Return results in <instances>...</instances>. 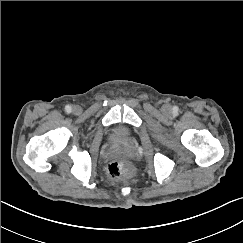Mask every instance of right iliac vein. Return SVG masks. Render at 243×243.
I'll return each instance as SVG.
<instances>
[{"instance_id": "1", "label": "right iliac vein", "mask_w": 243, "mask_h": 243, "mask_svg": "<svg viewBox=\"0 0 243 243\" xmlns=\"http://www.w3.org/2000/svg\"><path fill=\"white\" fill-rule=\"evenodd\" d=\"M81 107L79 106V105H74L73 107H72V112L74 113V114H76V115H78V114H80L81 113Z\"/></svg>"}]
</instances>
